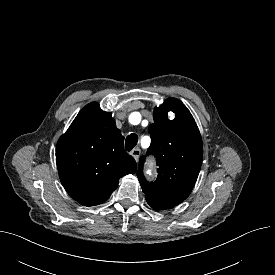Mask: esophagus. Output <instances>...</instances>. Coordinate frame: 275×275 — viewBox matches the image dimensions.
I'll use <instances>...</instances> for the list:
<instances>
[{
	"mask_svg": "<svg viewBox=\"0 0 275 275\" xmlns=\"http://www.w3.org/2000/svg\"><path fill=\"white\" fill-rule=\"evenodd\" d=\"M140 153L141 151L139 148H135L131 151V155L134 157L136 161L139 159Z\"/></svg>",
	"mask_w": 275,
	"mask_h": 275,
	"instance_id": "34e87169",
	"label": "esophagus"
}]
</instances>
